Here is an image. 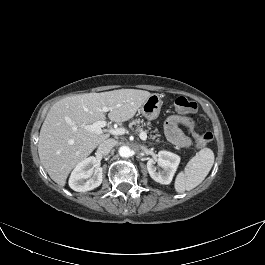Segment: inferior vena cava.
<instances>
[{
	"instance_id": "1",
	"label": "inferior vena cava",
	"mask_w": 265,
	"mask_h": 265,
	"mask_svg": "<svg viewBox=\"0 0 265 265\" xmlns=\"http://www.w3.org/2000/svg\"><path fill=\"white\" fill-rule=\"evenodd\" d=\"M116 140L114 139H107L102 142L98 147V154L100 155H107L112 148L116 145Z\"/></svg>"
}]
</instances>
